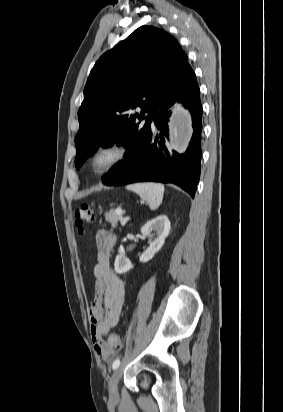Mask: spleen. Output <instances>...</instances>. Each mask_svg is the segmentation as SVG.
Instances as JSON below:
<instances>
[{"mask_svg":"<svg viewBox=\"0 0 283 412\" xmlns=\"http://www.w3.org/2000/svg\"><path fill=\"white\" fill-rule=\"evenodd\" d=\"M137 193L140 198L149 204L151 210H156L161 205L164 195V186L160 183H135L126 187Z\"/></svg>","mask_w":283,"mask_h":412,"instance_id":"3e777b00","label":"spleen"}]
</instances>
